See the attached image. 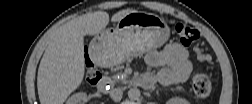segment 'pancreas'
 <instances>
[{"instance_id":"pancreas-1","label":"pancreas","mask_w":252,"mask_h":104,"mask_svg":"<svg viewBox=\"0 0 252 104\" xmlns=\"http://www.w3.org/2000/svg\"><path fill=\"white\" fill-rule=\"evenodd\" d=\"M124 78H119V79H114V81H118V80H121L123 83H126L127 82V79H128V76L126 74H123Z\"/></svg>"}]
</instances>
